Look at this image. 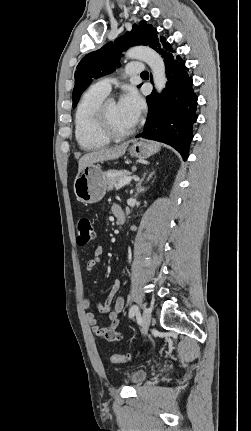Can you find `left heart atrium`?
Wrapping results in <instances>:
<instances>
[{
	"label": "left heart atrium",
	"mask_w": 251,
	"mask_h": 431,
	"mask_svg": "<svg viewBox=\"0 0 251 431\" xmlns=\"http://www.w3.org/2000/svg\"><path fill=\"white\" fill-rule=\"evenodd\" d=\"M118 104L134 124L139 120L144 109L143 99L133 88H128L125 91Z\"/></svg>",
	"instance_id": "1"
}]
</instances>
